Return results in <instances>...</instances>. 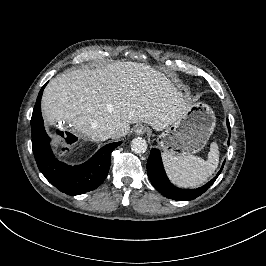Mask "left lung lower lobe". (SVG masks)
<instances>
[{
	"instance_id": "0a47b994",
	"label": "left lung lower lobe",
	"mask_w": 266,
	"mask_h": 266,
	"mask_svg": "<svg viewBox=\"0 0 266 266\" xmlns=\"http://www.w3.org/2000/svg\"><path fill=\"white\" fill-rule=\"evenodd\" d=\"M227 126L230 133V124L227 119ZM229 143V142H228ZM225 161L217 175L204 186L197 189H182L174 186L166 176L163 168L160 152L152 149L147 161V173L152 185L165 197L178 200L190 201L202 195L217 179L224 167Z\"/></svg>"
}]
</instances>
